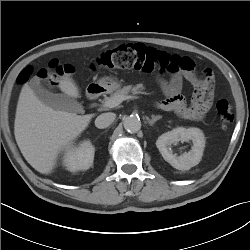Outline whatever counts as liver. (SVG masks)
<instances>
[{
	"label": "liver",
	"mask_w": 250,
	"mask_h": 250,
	"mask_svg": "<svg viewBox=\"0 0 250 250\" xmlns=\"http://www.w3.org/2000/svg\"><path fill=\"white\" fill-rule=\"evenodd\" d=\"M59 88L69 97H80L71 78L60 79ZM93 116L54 110L36 96L29 84H25L16 109L15 139L26 161L38 172L50 174L58 155L88 127Z\"/></svg>",
	"instance_id": "1"
}]
</instances>
